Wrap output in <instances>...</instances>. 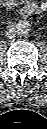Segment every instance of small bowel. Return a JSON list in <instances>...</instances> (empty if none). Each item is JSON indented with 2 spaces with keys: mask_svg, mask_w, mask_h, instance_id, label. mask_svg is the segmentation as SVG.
Returning <instances> with one entry per match:
<instances>
[{
  "mask_svg": "<svg viewBox=\"0 0 47 129\" xmlns=\"http://www.w3.org/2000/svg\"><path fill=\"white\" fill-rule=\"evenodd\" d=\"M17 0H2V4L5 6H12ZM46 6L44 3L40 4V9H44Z\"/></svg>",
  "mask_w": 47,
  "mask_h": 129,
  "instance_id": "c3829d8e",
  "label": "small bowel"
}]
</instances>
